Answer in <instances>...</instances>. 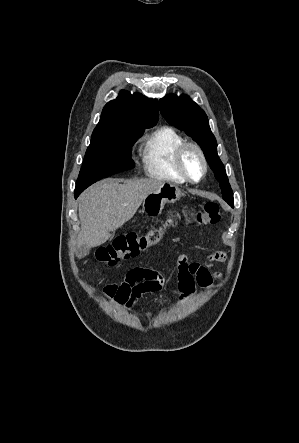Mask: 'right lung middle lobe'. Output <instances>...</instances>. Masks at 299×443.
Returning a JSON list of instances; mask_svg holds the SVG:
<instances>
[{"label":"right lung middle lobe","instance_id":"dd1d6c3e","mask_svg":"<svg viewBox=\"0 0 299 443\" xmlns=\"http://www.w3.org/2000/svg\"><path fill=\"white\" fill-rule=\"evenodd\" d=\"M154 125L92 136L77 179L75 193H81L104 177L134 168L131 158L132 146L145 128Z\"/></svg>","mask_w":299,"mask_h":443}]
</instances>
